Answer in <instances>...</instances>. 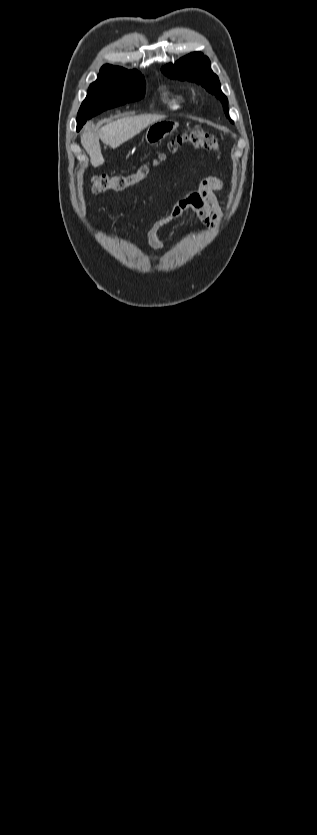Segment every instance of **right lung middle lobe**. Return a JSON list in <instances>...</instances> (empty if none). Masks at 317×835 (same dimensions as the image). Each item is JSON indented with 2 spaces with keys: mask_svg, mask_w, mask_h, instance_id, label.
<instances>
[{
  "mask_svg": "<svg viewBox=\"0 0 317 835\" xmlns=\"http://www.w3.org/2000/svg\"><path fill=\"white\" fill-rule=\"evenodd\" d=\"M144 76L138 71L117 70L98 76L89 89L77 116V131L104 110L144 97Z\"/></svg>",
  "mask_w": 317,
  "mask_h": 835,
  "instance_id": "1",
  "label": "right lung middle lobe"
}]
</instances>
